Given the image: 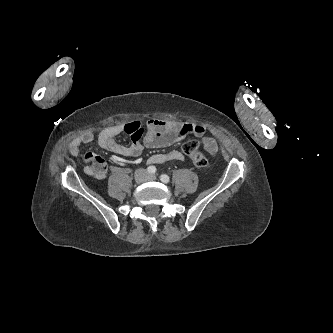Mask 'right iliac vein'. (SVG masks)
I'll list each match as a JSON object with an SVG mask.
<instances>
[{
    "label": "right iliac vein",
    "instance_id": "obj_1",
    "mask_svg": "<svg viewBox=\"0 0 333 333\" xmlns=\"http://www.w3.org/2000/svg\"><path fill=\"white\" fill-rule=\"evenodd\" d=\"M144 172L140 171L138 172V174L136 175V181L137 182H142L144 180Z\"/></svg>",
    "mask_w": 333,
    "mask_h": 333
}]
</instances>
